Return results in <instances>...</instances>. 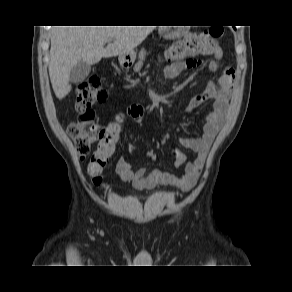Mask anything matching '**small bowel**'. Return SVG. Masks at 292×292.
Wrapping results in <instances>:
<instances>
[{"label":"small bowel","instance_id":"small-bowel-1","mask_svg":"<svg viewBox=\"0 0 292 292\" xmlns=\"http://www.w3.org/2000/svg\"><path fill=\"white\" fill-rule=\"evenodd\" d=\"M222 59L223 51L220 47H216L213 52V59L210 62V69L216 70ZM201 63L199 60L191 59L173 62L164 69V76L167 79L177 78L184 70L198 67ZM234 78V69H225L219 79L209 81L206 89L195 95L189 102L186 111L193 112L206 100H214L213 109L206 116L202 135L198 138H185L181 141L184 148L196 154L195 160L187 163H185V157L182 154L177 156L176 166L184 165L185 168L184 175L181 178L159 170L150 172L143 168L134 170L126 158L119 159L116 164L115 170L119 178L124 182H130L137 189L171 186L185 192L190 191L195 186L204 166L207 152L224 123ZM133 148V145H130L129 151L131 152Z\"/></svg>","mask_w":292,"mask_h":292}]
</instances>
